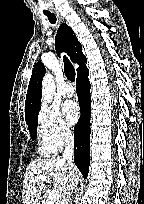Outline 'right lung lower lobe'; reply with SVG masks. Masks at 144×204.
I'll list each match as a JSON object with an SVG mask.
<instances>
[{
	"label": "right lung lower lobe",
	"instance_id": "right-lung-lower-lobe-1",
	"mask_svg": "<svg viewBox=\"0 0 144 204\" xmlns=\"http://www.w3.org/2000/svg\"><path fill=\"white\" fill-rule=\"evenodd\" d=\"M88 74L89 70L86 67L77 73L76 91L81 116L74 128V162L84 178L88 176L90 160L91 85L88 80Z\"/></svg>",
	"mask_w": 144,
	"mask_h": 204
}]
</instances>
